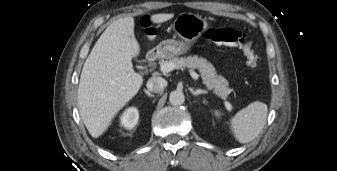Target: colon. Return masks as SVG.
Instances as JSON below:
<instances>
[{
    "label": "colon",
    "instance_id": "1",
    "mask_svg": "<svg viewBox=\"0 0 337 171\" xmlns=\"http://www.w3.org/2000/svg\"><path fill=\"white\" fill-rule=\"evenodd\" d=\"M141 32L145 38H150L151 23L147 17H143L141 20ZM206 38L217 45L239 46L250 66L256 67L259 63V57L247 40L246 34L238 29L230 27L211 28L207 31Z\"/></svg>",
    "mask_w": 337,
    "mask_h": 171
}]
</instances>
